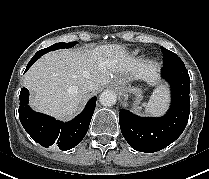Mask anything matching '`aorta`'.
I'll return each instance as SVG.
<instances>
[{"label":"aorta","instance_id":"aorta-1","mask_svg":"<svg viewBox=\"0 0 209 179\" xmlns=\"http://www.w3.org/2000/svg\"><path fill=\"white\" fill-rule=\"evenodd\" d=\"M117 101V96L113 91H104L100 95V103L103 106L110 107L113 106Z\"/></svg>","mask_w":209,"mask_h":179}]
</instances>
